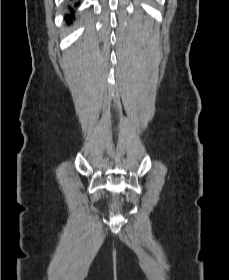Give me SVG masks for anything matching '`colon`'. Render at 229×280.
I'll return each mask as SVG.
<instances>
[{
  "label": "colon",
  "instance_id": "obj_1",
  "mask_svg": "<svg viewBox=\"0 0 229 280\" xmlns=\"http://www.w3.org/2000/svg\"><path fill=\"white\" fill-rule=\"evenodd\" d=\"M113 206H114V208H115L116 211H122V210H123V206H122V204L119 203V202H115V203L113 204Z\"/></svg>",
  "mask_w": 229,
  "mask_h": 280
}]
</instances>
